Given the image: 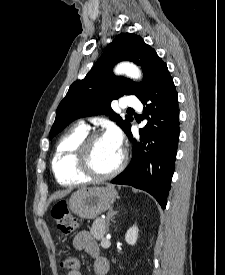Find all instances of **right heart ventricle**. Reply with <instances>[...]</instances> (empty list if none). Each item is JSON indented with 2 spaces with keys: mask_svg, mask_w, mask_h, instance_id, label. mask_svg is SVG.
<instances>
[{
  "mask_svg": "<svg viewBox=\"0 0 225 275\" xmlns=\"http://www.w3.org/2000/svg\"><path fill=\"white\" fill-rule=\"evenodd\" d=\"M87 134L86 126L77 125L60 138L52 159L53 173L60 184L75 185L88 180L76 170L74 164L76 147Z\"/></svg>",
  "mask_w": 225,
  "mask_h": 275,
  "instance_id": "e07e8e85",
  "label": "right heart ventricle"
}]
</instances>
